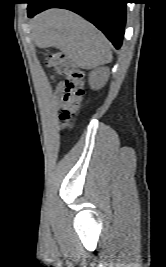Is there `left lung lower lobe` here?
<instances>
[{"label":"left lung lower lobe","mask_w":166,"mask_h":267,"mask_svg":"<svg viewBox=\"0 0 166 267\" xmlns=\"http://www.w3.org/2000/svg\"><path fill=\"white\" fill-rule=\"evenodd\" d=\"M128 0H28V16L48 8L72 10L93 23L119 49L124 36Z\"/></svg>","instance_id":"0a47b994"}]
</instances>
